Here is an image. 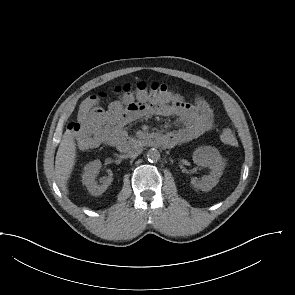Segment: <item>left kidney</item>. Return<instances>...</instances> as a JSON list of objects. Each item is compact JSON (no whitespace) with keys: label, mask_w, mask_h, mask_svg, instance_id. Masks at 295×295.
Returning <instances> with one entry per match:
<instances>
[{"label":"left kidney","mask_w":295,"mask_h":295,"mask_svg":"<svg viewBox=\"0 0 295 295\" xmlns=\"http://www.w3.org/2000/svg\"><path fill=\"white\" fill-rule=\"evenodd\" d=\"M193 161L198 166L209 167L211 172L203 176L200 181L191 179L192 186L202 191L211 190L219 182L225 165L219 151L210 146L199 147L193 153Z\"/></svg>","instance_id":"obj_1"}]
</instances>
